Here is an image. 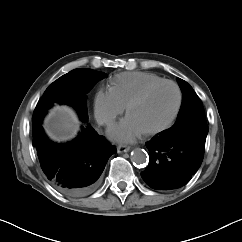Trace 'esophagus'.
Returning a JSON list of instances; mask_svg holds the SVG:
<instances>
[{"label":"esophagus","instance_id":"esophagus-1","mask_svg":"<svg viewBox=\"0 0 242 242\" xmlns=\"http://www.w3.org/2000/svg\"><path fill=\"white\" fill-rule=\"evenodd\" d=\"M131 148L129 146L126 145H119L117 147V152L118 153H123V152H128Z\"/></svg>","mask_w":242,"mask_h":242}]
</instances>
